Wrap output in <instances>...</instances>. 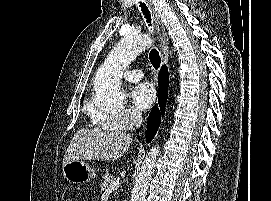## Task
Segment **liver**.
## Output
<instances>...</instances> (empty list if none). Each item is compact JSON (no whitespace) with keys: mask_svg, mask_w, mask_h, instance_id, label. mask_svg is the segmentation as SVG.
<instances>
[{"mask_svg":"<svg viewBox=\"0 0 271 201\" xmlns=\"http://www.w3.org/2000/svg\"><path fill=\"white\" fill-rule=\"evenodd\" d=\"M132 139L123 131L97 128L78 130L63 158V166L75 160H117L128 150Z\"/></svg>","mask_w":271,"mask_h":201,"instance_id":"1","label":"liver"}]
</instances>
